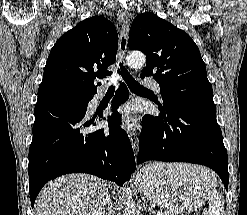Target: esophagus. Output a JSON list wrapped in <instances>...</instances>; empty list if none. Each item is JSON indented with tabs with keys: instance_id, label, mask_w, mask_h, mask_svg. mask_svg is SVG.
I'll use <instances>...</instances> for the list:
<instances>
[{
	"instance_id": "34e87169",
	"label": "esophagus",
	"mask_w": 247,
	"mask_h": 215,
	"mask_svg": "<svg viewBox=\"0 0 247 215\" xmlns=\"http://www.w3.org/2000/svg\"><path fill=\"white\" fill-rule=\"evenodd\" d=\"M118 21L121 25V33H120V39H119V56H120V59L123 60L126 50H127V44H128L129 13L123 9L119 10L118 11ZM129 137L132 143L134 153L136 155V152L139 146V139H138L137 133L133 130L130 133Z\"/></svg>"
}]
</instances>
